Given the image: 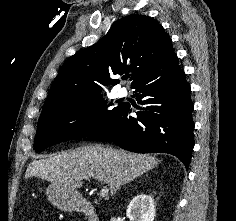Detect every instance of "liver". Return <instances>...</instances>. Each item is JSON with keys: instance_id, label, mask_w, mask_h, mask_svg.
<instances>
[{"instance_id": "1", "label": "liver", "mask_w": 236, "mask_h": 221, "mask_svg": "<svg viewBox=\"0 0 236 221\" xmlns=\"http://www.w3.org/2000/svg\"><path fill=\"white\" fill-rule=\"evenodd\" d=\"M160 162L147 154L88 145L32 161L25 178L39 177L69 191L80 188L84 177L95 178L99 183L108 185L111 194H115L120 186L142 176Z\"/></svg>"}]
</instances>
